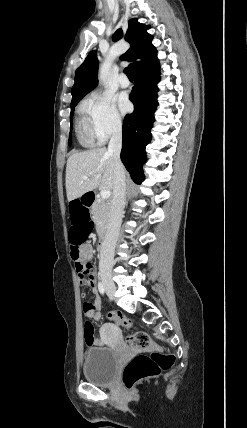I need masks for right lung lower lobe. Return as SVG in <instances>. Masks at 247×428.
Masks as SVG:
<instances>
[{"instance_id": "98d812e1", "label": "right lung lower lobe", "mask_w": 247, "mask_h": 428, "mask_svg": "<svg viewBox=\"0 0 247 428\" xmlns=\"http://www.w3.org/2000/svg\"><path fill=\"white\" fill-rule=\"evenodd\" d=\"M159 68L156 58L133 71L135 86L129 99L134 104V112L127 115L123 122L121 160L137 184L144 180L145 147L151 140L150 131L158 106Z\"/></svg>"}]
</instances>
